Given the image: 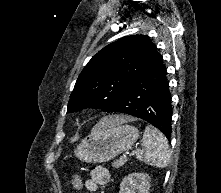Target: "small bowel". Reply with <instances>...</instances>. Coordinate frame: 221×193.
Returning a JSON list of instances; mask_svg holds the SVG:
<instances>
[{"label":"small bowel","instance_id":"obj_1","mask_svg":"<svg viewBox=\"0 0 221 193\" xmlns=\"http://www.w3.org/2000/svg\"><path fill=\"white\" fill-rule=\"evenodd\" d=\"M109 180V171L103 167H96L91 171L89 178L85 180L84 186L89 191L95 192L100 186L107 184Z\"/></svg>","mask_w":221,"mask_h":193}]
</instances>
